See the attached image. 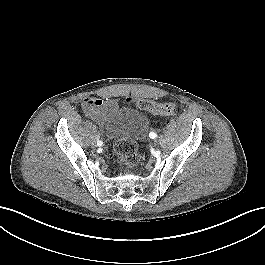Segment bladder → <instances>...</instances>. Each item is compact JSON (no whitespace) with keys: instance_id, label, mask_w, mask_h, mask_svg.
<instances>
[{"instance_id":"31cf9c89","label":"bladder","mask_w":265,"mask_h":265,"mask_svg":"<svg viewBox=\"0 0 265 265\" xmlns=\"http://www.w3.org/2000/svg\"><path fill=\"white\" fill-rule=\"evenodd\" d=\"M148 118L134 109H118L111 111L109 117V133L116 139L140 141L147 135Z\"/></svg>"}]
</instances>
